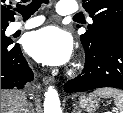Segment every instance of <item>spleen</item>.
<instances>
[{"label":"spleen","mask_w":123,"mask_h":113,"mask_svg":"<svg viewBox=\"0 0 123 113\" xmlns=\"http://www.w3.org/2000/svg\"><path fill=\"white\" fill-rule=\"evenodd\" d=\"M91 95L105 99L113 97L116 107L120 110V113H123V91L113 88H102L97 89Z\"/></svg>","instance_id":"1"}]
</instances>
